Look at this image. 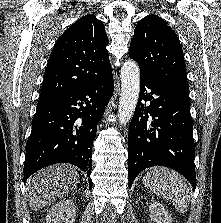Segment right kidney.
<instances>
[{"instance_id": "1", "label": "right kidney", "mask_w": 221, "mask_h": 223, "mask_svg": "<svg viewBox=\"0 0 221 223\" xmlns=\"http://www.w3.org/2000/svg\"><path fill=\"white\" fill-rule=\"evenodd\" d=\"M75 218L74 200L63 199L51 207L46 216V223H74Z\"/></svg>"}]
</instances>
